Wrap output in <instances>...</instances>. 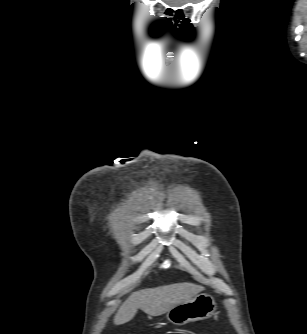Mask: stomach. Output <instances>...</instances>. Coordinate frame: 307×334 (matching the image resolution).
Wrapping results in <instances>:
<instances>
[{"instance_id": "0dacf381", "label": "stomach", "mask_w": 307, "mask_h": 334, "mask_svg": "<svg viewBox=\"0 0 307 334\" xmlns=\"http://www.w3.org/2000/svg\"><path fill=\"white\" fill-rule=\"evenodd\" d=\"M216 303L212 296L206 293L198 294L191 299L175 305L167 311L166 317L175 325H185L212 317Z\"/></svg>"}]
</instances>
